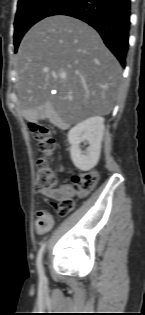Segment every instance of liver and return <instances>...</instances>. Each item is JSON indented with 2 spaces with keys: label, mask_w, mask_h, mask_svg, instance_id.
<instances>
[{
  "label": "liver",
  "mask_w": 145,
  "mask_h": 315,
  "mask_svg": "<svg viewBox=\"0 0 145 315\" xmlns=\"http://www.w3.org/2000/svg\"><path fill=\"white\" fill-rule=\"evenodd\" d=\"M15 67L23 116L66 125L108 115L122 72L100 35L65 15L47 17L26 33Z\"/></svg>",
  "instance_id": "1"
}]
</instances>
